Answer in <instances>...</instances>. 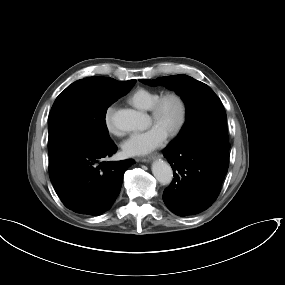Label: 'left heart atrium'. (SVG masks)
Here are the masks:
<instances>
[{"mask_svg": "<svg viewBox=\"0 0 285 285\" xmlns=\"http://www.w3.org/2000/svg\"><path fill=\"white\" fill-rule=\"evenodd\" d=\"M167 133L157 124L143 132L132 133L123 143V150L128 156L146 155L160 147L166 140Z\"/></svg>", "mask_w": 285, "mask_h": 285, "instance_id": "left-heart-atrium-1", "label": "left heart atrium"}]
</instances>
